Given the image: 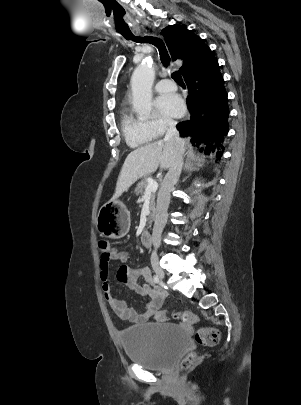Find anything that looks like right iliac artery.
Returning a JSON list of instances; mask_svg holds the SVG:
<instances>
[{
	"instance_id": "obj_1",
	"label": "right iliac artery",
	"mask_w": 301,
	"mask_h": 405,
	"mask_svg": "<svg viewBox=\"0 0 301 405\" xmlns=\"http://www.w3.org/2000/svg\"><path fill=\"white\" fill-rule=\"evenodd\" d=\"M153 280H154V282L157 283V284L160 283V278H159L158 276H154V277H153Z\"/></svg>"
}]
</instances>
